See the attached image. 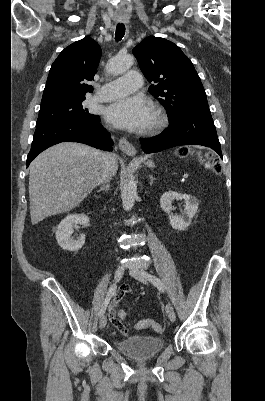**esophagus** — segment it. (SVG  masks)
<instances>
[{"label": "esophagus", "mask_w": 265, "mask_h": 401, "mask_svg": "<svg viewBox=\"0 0 265 401\" xmlns=\"http://www.w3.org/2000/svg\"><path fill=\"white\" fill-rule=\"evenodd\" d=\"M118 146H119L120 150H122L124 153H126V155L135 156L136 149L125 138H120Z\"/></svg>", "instance_id": "esophagus-1"}]
</instances>
